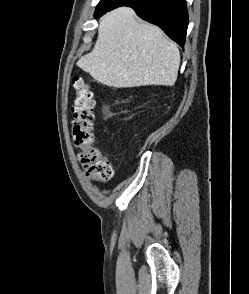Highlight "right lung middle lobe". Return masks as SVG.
Listing matches in <instances>:
<instances>
[{"label":"right lung middle lobe","instance_id":"right-lung-middle-lobe-1","mask_svg":"<svg viewBox=\"0 0 249 294\" xmlns=\"http://www.w3.org/2000/svg\"><path fill=\"white\" fill-rule=\"evenodd\" d=\"M121 0H101L100 3L97 6L96 12L98 13L114 4H117L118 2H120Z\"/></svg>","mask_w":249,"mask_h":294}]
</instances>
